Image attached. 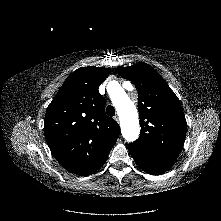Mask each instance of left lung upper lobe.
<instances>
[{"mask_svg": "<svg viewBox=\"0 0 221 221\" xmlns=\"http://www.w3.org/2000/svg\"><path fill=\"white\" fill-rule=\"evenodd\" d=\"M139 94L141 133L134 142L155 154L177 159L186 136L187 123L179 99L158 72L146 63L118 67Z\"/></svg>", "mask_w": 221, "mask_h": 221, "instance_id": "left-lung-upper-lobe-1", "label": "left lung upper lobe"}]
</instances>
